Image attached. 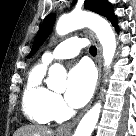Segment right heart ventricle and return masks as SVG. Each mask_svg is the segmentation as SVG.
Listing matches in <instances>:
<instances>
[{"instance_id":"e07e8e85","label":"right heart ventricle","mask_w":136,"mask_h":136,"mask_svg":"<svg viewBox=\"0 0 136 136\" xmlns=\"http://www.w3.org/2000/svg\"><path fill=\"white\" fill-rule=\"evenodd\" d=\"M46 64L39 63L30 71L23 91L22 106L33 122L46 124L55 119L51 108L53 92L44 84Z\"/></svg>"}]
</instances>
